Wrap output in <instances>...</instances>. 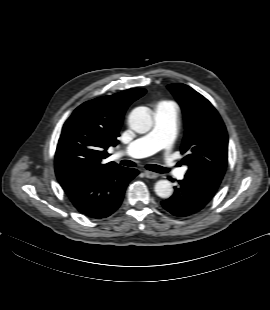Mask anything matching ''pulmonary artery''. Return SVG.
Returning <instances> with one entry per match:
<instances>
[{"mask_svg":"<svg viewBox=\"0 0 270 310\" xmlns=\"http://www.w3.org/2000/svg\"><path fill=\"white\" fill-rule=\"evenodd\" d=\"M178 111L174 104L160 102L154 113V124L152 129L142 137L131 142L125 149V154L141 158L154 154L161 149H168L172 146L177 131ZM172 165V163H168ZM179 177H184L180 171Z\"/></svg>","mask_w":270,"mask_h":310,"instance_id":"pulmonary-artery-1","label":"pulmonary artery"}]
</instances>
